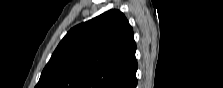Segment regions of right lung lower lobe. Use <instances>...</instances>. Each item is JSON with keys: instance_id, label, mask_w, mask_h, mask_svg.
<instances>
[{"instance_id": "98d812e1", "label": "right lung lower lobe", "mask_w": 223, "mask_h": 88, "mask_svg": "<svg viewBox=\"0 0 223 88\" xmlns=\"http://www.w3.org/2000/svg\"><path fill=\"white\" fill-rule=\"evenodd\" d=\"M137 85V79L135 78L134 81L131 84V88H135Z\"/></svg>"}]
</instances>
